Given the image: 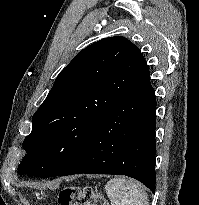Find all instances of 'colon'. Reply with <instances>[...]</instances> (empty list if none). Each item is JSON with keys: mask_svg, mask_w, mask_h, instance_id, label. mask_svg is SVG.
Listing matches in <instances>:
<instances>
[{"mask_svg": "<svg viewBox=\"0 0 199 205\" xmlns=\"http://www.w3.org/2000/svg\"><path fill=\"white\" fill-rule=\"evenodd\" d=\"M58 205H107V201L89 187H65L58 195Z\"/></svg>", "mask_w": 199, "mask_h": 205, "instance_id": "1", "label": "colon"}]
</instances>
